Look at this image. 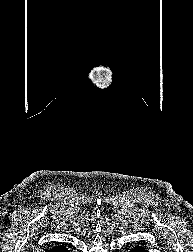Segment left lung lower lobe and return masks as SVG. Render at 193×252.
<instances>
[{
  "instance_id": "obj_1",
  "label": "left lung lower lobe",
  "mask_w": 193,
  "mask_h": 252,
  "mask_svg": "<svg viewBox=\"0 0 193 252\" xmlns=\"http://www.w3.org/2000/svg\"><path fill=\"white\" fill-rule=\"evenodd\" d=\"M130 252H148V251L142 246H137V247H134V249H132Z\"/></svg>"
}]
</instances>
